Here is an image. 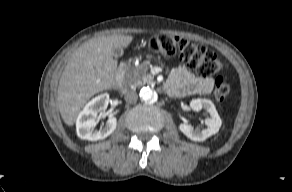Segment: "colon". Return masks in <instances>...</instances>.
Instances as JSON below:
<instances>
[{"mask_svg":"<svg viewBox=\"0 0 292 192\" xmlns=\"http://www.w3.org/2000/svg\"><path fill=\"white\" fill-rule=\"evenodd\" d=\"M151 50L164 57L178 56L190 69L203 78L209 77L225 69V63L220 60L215 52L206 46L192 42L188 39L159 34L149 40ZM231 92V86L223 77L214 81L213 95L218 102H224Z\"/></svg>","mask_w":292,"mask_h":192,"instance_id":"1","label":"colon"}]
</instances>
